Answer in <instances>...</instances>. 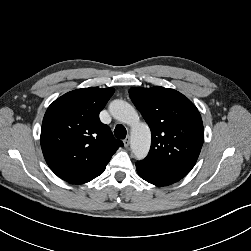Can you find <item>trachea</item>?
I'll use <instances>...</instances> for the list:
<instances>
[{"mask_svg": "<svg viewBox=\"0 0 251 251\" xmlns=\"http://www.w3.org/2000/svg\"><path fill=\"white\" fill-rule=\"evenodd\" d=\"M114 134H115V137L118 139H125L126 134H127L126 128L123 125L118 124L115 127Z\"/></svg>", "mask_w": 251, "mask_h": 251, "instance_id": "trachea-1", "label": "trachea"}]
</instances>
